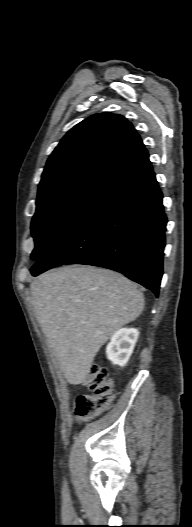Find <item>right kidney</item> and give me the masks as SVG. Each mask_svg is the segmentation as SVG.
Returning a JSON list of instances; mask_svg holds the SVG:
<instances>
[{"mask_svg":"<svg viewBox=\"0 0 192 527\" xmlns=\"http://www.w3.org/2000/svg\"><path fill=\"white\" fill-rule=\"evenodd\" d=\"M139 331L134 328H123L114 333L106 347L107 358L113 364L125 366L133 353Z\"/></svg>","mask_w":192,"mask_h":527,"instance_id":"obj_1","label":"right kidney"}]
</instances>
